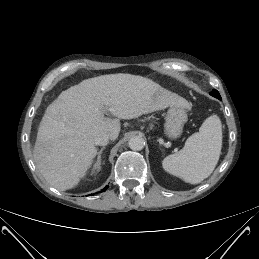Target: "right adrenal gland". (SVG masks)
<instances>
[{
	"label": "right adrenal gland",
	"instance_id": "1",
	"mask_svg": "<svg viewBox=\"0 0 259 259\" xmlns=\"http://www.w3.org/2000/svg\"><path fill=\"white\" fill-rule=\"evenodd\" d=\"M105 150V147L101 148L98 152V157H97V161L96 163L94 164V171L96 170H99L100 168V165H101V155H102V152Z\"/></svg>",
	"mask_w": 259,
	"mask_h": 259
}]
</instances>
